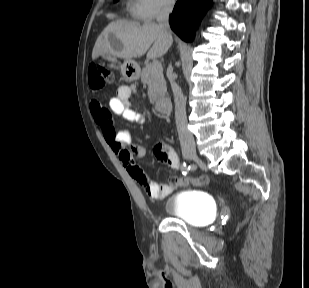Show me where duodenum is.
<instances>
[{
	"label": "duodenum",
	"mask_w": 309,
	"mask_h": 288,
	"mask_svg": "<svg viewBox=\"0 0 309 288\" xmlns=\"http://www.w3.org/2000/svg\"><path fill=\"white\" fill-rule=\"evenodd\" d=\"M157 106L158 110L163 114H166L171 110V102L167 98H162L158 100Z\"/></svg>",
	"instance_id": "duodenum-1"
}]
</instances>
